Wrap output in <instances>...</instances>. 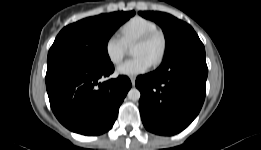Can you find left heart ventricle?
I'll return each instance as SVG.
<instances>
[{"mask_svg":"<svg viewBox=\"0 0 261 150\" xmlns=\"http://www.w3.org/2000/svg\"><path fill=\"white\" fill-rule=\"evenodd\" d=\"M159 49H160V40L155 39L154 41L148 44H141V43L134 44L132 53L134 56L144 55L153 62L159 52Z\"/></svg>","mask_w":261,"mask_h":150,"instance_id":"b2bd125f","label":"left heart ventricle"}]
</instances>
